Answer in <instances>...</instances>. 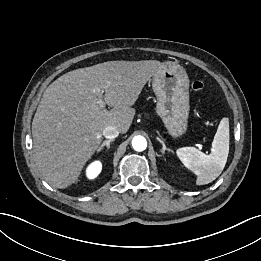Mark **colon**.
<instances>
[{
	"label": "colon",
	"instance_id": "1",
	"mask_svg": "<svg viewBox=\"0 0 261 261\" xmlns=\"http://www.w3.org/2000/svg\"><path fill=\"white\" fill-rule=\"evenodd\" d=\"M192 90L195 92H200L204 88V83L202 81L196 80L192 82Z\"/></svg>",
	"mask_w": 261,
	"mask_h": 261
}]
</instances>
